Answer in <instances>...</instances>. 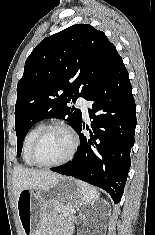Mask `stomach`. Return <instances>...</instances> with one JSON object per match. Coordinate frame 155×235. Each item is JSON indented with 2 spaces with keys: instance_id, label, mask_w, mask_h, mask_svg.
Instances as JSON below:
<instances>
[{
  "instance_id": "obj_1",
  "label": "stomach",
  "mask_w": 155,
  "mask_h": 235,
  "mask_svg": "<svg viewBox=\"0 0 155 235\" xmlns=\"http://www.w3.org/2000/svg\"><path fill=\"white\" fill-rule=\"evenodd\" d=\"M83 202L77 181L71 177L63 176L47 190H22L16 207L23 235H46L41 228L45 207L71 210L81 206Z\"/></svg>"
}]
</instances>
